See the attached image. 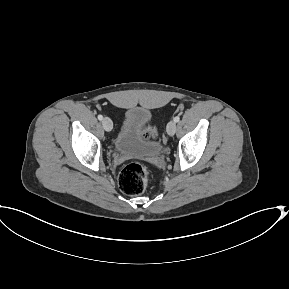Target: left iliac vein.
I'll return each instance as SVG.
<instances>
[{"instance_id": "1", "label": "left iliac vein", "mask_w": 289, "mask_h": 289, "mask_svg": "<svg viewBox=\"0 0 289 289\" xmlns=\"http://www.w3.org/2000/svg\"><path fill=\"white\" fill-rule=\"evenodd\" d=\"M166 131H167L168 135L173 136L176 132V122L170 121L167 124Z\"/></svg>"}]
</instances>
